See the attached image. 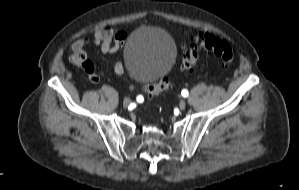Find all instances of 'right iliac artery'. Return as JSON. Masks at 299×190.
Instances as JSON below:
<instances>
[{"instance_id":"82829eb1","label":"right iliac artery","mask_w":299,"mask_h":190,"mask_svg":"<svg viewBox=\"0 0 299 190\" xmlns=\"http://www.w3.org/2000/svg\"><path fill=\"white\" fill-rule=\"evenodd\" d=\"M139 100H143V97L142 96H138L137 97V101H139Z\"/></svg>"}]
</instances>
